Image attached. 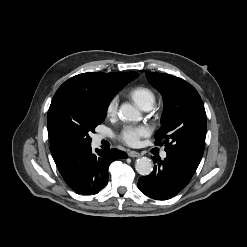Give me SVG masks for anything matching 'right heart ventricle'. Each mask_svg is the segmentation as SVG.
I'll use <instances>...</instances> for the list:
<instances>
[{
  "mask_svg": "<svg viewBox=\"0 0 247 247\" xmlns=\"http://www.w3.org/2000/svg\"><path fill=\"white\" fill-rule=\"evenodd\" d=\"M129 96L135 102V104L144 109L146 107L152 108L155 103L154 92L146 86H136L129 91Z\"/></svg>",
  "mask_w": 247,
  "mask_h": 247,
  "instance_id": "right-heart-ventricle-1",
  "label": "right heart ventricle"
}]
</instances>
